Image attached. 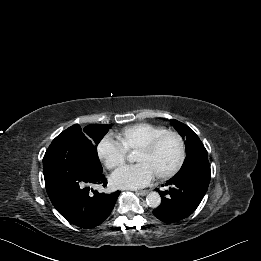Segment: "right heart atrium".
<instances>
[{
	"mask_svg": "<svg viewBox=\"0 0 261 261\" xmlns=\"http://www.w3.org/2000/svg\"><path fill=\"white\" fill-rule=\"evenodd\" d=\"M97 153L106 168L114 169L124 163L127 150L116 137L107 134L99 140Z\"/></svg>",
	"mask_w": 261,
	"mask_h": 261,
	"instance_id": "1",
	"label": "right heart atrium"
}]
</instances>
